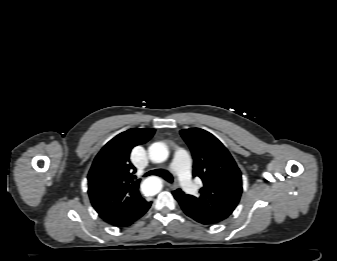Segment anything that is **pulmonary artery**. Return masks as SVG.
<instances>
[{"mask_svg":"<svg viewBox=\"0 0 337 261\" xmlns=\"http://www.w3.org/2000/svg\"><path fill=\"white\" fill-rule=\"evenodd\" d=\"M170 169L178 176V180L184 191L189 194L193 193L195 187L191 180V160L185 150L178 149L175 152Z\"/></svg>","mask_w":337,"mask_h":261,"instance_id":"e3ab8cb5","label":"pulmonary artery"}]
</instances>
